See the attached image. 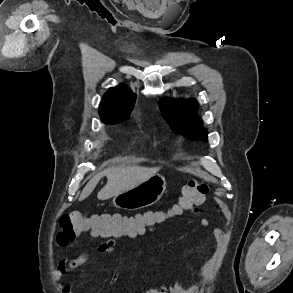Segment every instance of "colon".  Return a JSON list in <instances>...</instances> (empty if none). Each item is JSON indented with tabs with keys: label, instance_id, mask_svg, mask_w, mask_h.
Instances as JSON below:
<instances>
[{
	"label": "colon",
	"instance_id": "obj_1",
	"mask_svg": "<svg viewBox=\"0 0 293 293\" xmlns=\"http://www.w3.org/2000/svg\"><path fill=\"white\" fill-rule=\"evenodd\" d=\"M208 184L198 180H190L181 190L177 202L172 206L169 215L177 216L195 210L202 203L208 192ZM165 218L162 212H154V216L147 220L136 216L121 214H96L87 216L79 211L63 213L59 218L57 243L67 245L85 233L97 237H107L128 233L159 223Z\"/></svg>",
	"mask_w": 293,
	"mask_h": 293
}]
</instances>
